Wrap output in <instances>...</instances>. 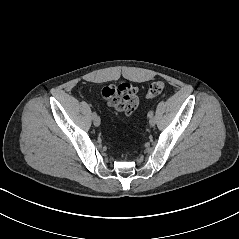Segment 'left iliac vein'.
<instances>
[{"instance_id": "1", "label": "left iliac vein", "mask_w": 239, "mask_h": 239, "mask_svg": "<svg viewBox=\"0 0 239 239\" xmlns=\"http://www.w3.org/2000/svg\"><path fill=\"white\" fill-rule=\"evenodd\" d=\"M149 124H150V126H155V124H156V118L155 117H151L150 119H149Z\"/></svg>"}]
</instances>
